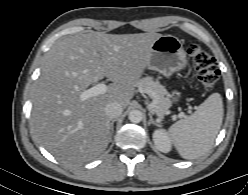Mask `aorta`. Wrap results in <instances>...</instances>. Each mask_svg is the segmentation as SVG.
I'll use <instances>...</instances> for the list:
<instances>
[{
    "instance_id": "762f6f07",
    "label": "aorta",
    "mask_w": 248,
    "mask_h": 195,
    "mask_svg": "<svg viewBox=\"0 0 248 195\" xmlns=\"http://www.w3.org/2000/svg\"><path fill=\"white\" fill-rule=\"evenodd\" d=\"M128 118L132 123H139L142 121L143 114L140 110H131L128 114Z\"/></svg>"
}]
</instances>
